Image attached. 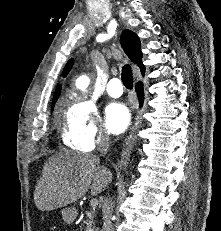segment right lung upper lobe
I'll return each instance as SVG.
<instances>
[{"mask_svg":"<svg viewBox=\"0 0 221 231\" xmlns=\"http://www.w3.org/2000/svg\"><path fill=\"white\" fill-rule=\"evenodd\" d=\"M120 42H121V45H122L125 53L129 57V59L133 63L137 64V66H139L142 75H144L145 66L142 63L141 43H140L139 37L133 31L126 29L121 34ZM72 65H73V60L71 59L66 64V66L63 70L64 76H67ZM60 90H61V86L58 85L56 92L54 94L53 104H55L56 100L58 99V96L60 94Z\"/></svg>","mask_w":221,"mask_h":231,"instance_id":"cb5924a9","label":"right lung upper lobe"}]
</instances>
